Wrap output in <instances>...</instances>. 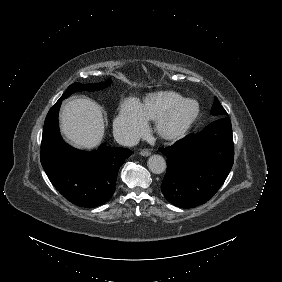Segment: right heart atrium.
<instances>
[{
	"mask_svg": "<svg viewBox=\"0 0 282 282\" xmlns=\"http://www.w3.org/2000/svg\"><path fill=\"white\" fill-rule=\"evenodd\" d=\"M147 129V118L141 106L131 100L126 101L114 121V132L123 140L132 142Z\"/></svg>",
	"mask_w": 282,
	"mask_h": 282,
	"instance_id": "1",
	"label": "right heart atrium"
}]
</instances>
